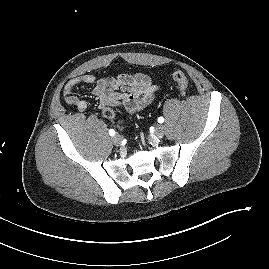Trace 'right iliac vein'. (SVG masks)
Here are the masks:
<instances>
[{"instance_id":"obj_1","label":"right iliac vein","mask_w":269,"mask_h":269,"mask_svg":"<svg viewBox=\"0 0 269 269\" xmlns=\"http://www.w3.org/2000/svg\"><path fill=\"white\" fill-rule=\"evenodd\" d=\"M121 141H122V138L120 135L116 134L112 137V142L115 144V145H120L121 144Z\"/></svg>"}]
</instances>
